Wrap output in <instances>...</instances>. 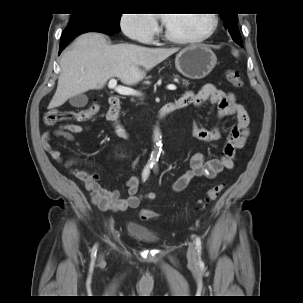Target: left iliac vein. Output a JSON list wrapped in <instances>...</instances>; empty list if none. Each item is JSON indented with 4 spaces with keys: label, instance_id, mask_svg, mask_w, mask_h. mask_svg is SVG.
<instances>
[{
    "label": "left iliac vein",
    "instance_id": "left-iliac-vein-1",
    "mask_svg": "<svg viewBox=\"0 0 303 303\" xmlns=\"http://www.w3.org/2000/svg\"><path fill=\"white\" fill-rule=\"evenodd\" d=\"M187 258L189 263L196 264V247L193 243L189 244L188 251H187Z\"/></svg>",
    "mask_w": 303,
    "mask_h": 303
}]
</instances>
